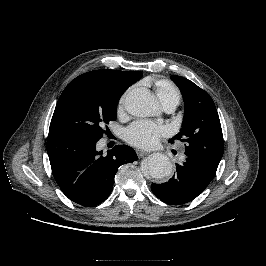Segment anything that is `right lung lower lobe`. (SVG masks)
Masks as SVG:
<instances>
[{"label": "right lung lower lobe", "instance_id": "obj_1", "mask_svg": "<svg viewBox=\"0 0 266 266\" xmlns=\"http://www.w3.org/2000/svg\"><path fill=\"white\" fill-rule=\"evenodd\" d=\"M97 141L69 134L48 135L47 152L53 176L62 192L84 207L102 203L111 193L114 176L125 163L137 160L129 146L117 145L107 155Z\"/></svg>", "mask_w": 266, "mask_h": 266}]
</instances>
